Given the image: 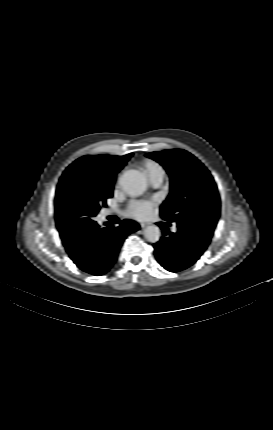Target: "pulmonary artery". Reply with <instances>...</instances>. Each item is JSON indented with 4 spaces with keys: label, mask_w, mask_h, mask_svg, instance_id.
Returning a JSON list of instances; mask_svg holds the SVG:
<instances>
[{
    "label": "pulmonary artery",
    "mask_w": 273,
    "mask_h": 430,
    "mask_svg": "<svg viewBox=\"0 0 273 430\" xmlns=\"http://www.w3.org/2000/svg\"><path fill=\"white\" fill-rule=\"evenodd\" d=\"M163 179H164L163 171H157L149 177L151 184L156 188L162 184ZM174 231H176V227H174Z\"/></svg>",
    "instance_id": "obj_1"
}]
</instances>
